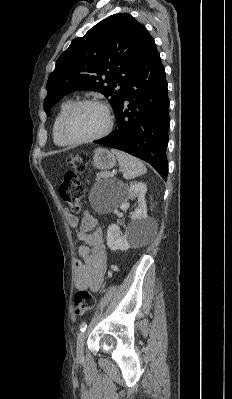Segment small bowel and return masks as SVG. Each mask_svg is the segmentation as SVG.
<instances>
[{
  "label": "small bowel",
  "mask_w": 232,
  "mask_h": 399,
  "mask_svg": "<svg viewBox=\"0 0 232 399\" xmlns=\"http://www.w3.org/2000/svg\"><path fill=\"white\" fill-rule=\"evenodd\" d=\"M78 238L82 242L78 253L83 261H76L74 264V287L78 291L89 287L98 292L102 287L106 267L101 226L95 220L85 218L79 228Z\"/></svg>",
  "instance_id": "small-bowel-1"
}]
</instances>
